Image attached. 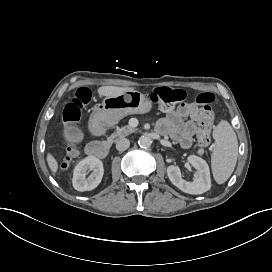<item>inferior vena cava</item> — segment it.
Here are the masks:
<instances>
[{
    "instance_id": "602c4592",
    "label": "inferior vena cava",
    "mask_w": 272,
    "mask_h": 272,
    "mask_svg": "<svg viewBox=\"0 0 272 272\" xmlns=\"http://www.w3.org/2000/svg\"><path fill=\"white\" fill-rule=\"evenodd\" d=\"M129 146H130V142L127 138H120L116 143V148L119 151H124L128 149Z\"/></svg>"
}]
</instances>
